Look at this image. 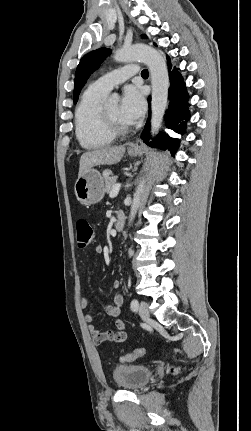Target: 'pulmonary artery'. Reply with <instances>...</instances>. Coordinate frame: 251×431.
Instances as JSON below:
<instances>
[{
  "label": "pulmonary artery",
  "mask_w": 251,
  "mask_h": 431,
  "mask_svg": "<svg viewBox=\"0 0 251 431\" xmlns=\"http://www.w3.org/2000/svg\"><path fill=\"white\" fill-rule=\"evenodd\" d=\"M138 66L136 64H129L110 73L103 75L93 82L92 86L104 93L110 92L113 87L121 84L126 79L138 73Z\"/></svg>",
  "instance_id": "pulmonary-artery-1"
}]
</instances>
